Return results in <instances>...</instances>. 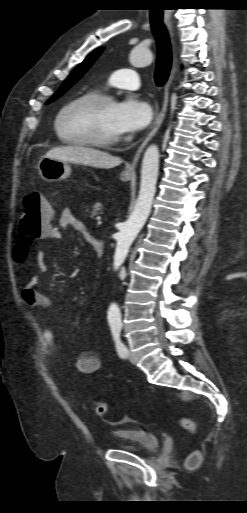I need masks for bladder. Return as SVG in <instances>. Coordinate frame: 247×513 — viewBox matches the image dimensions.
<instances>
[{"label": "bladder", "instance_id": "bladder-1", "mask_svg": "<svg viewBox=\"0 0 247 513\" xmlns=\"http://www.w3.org/2000/svg\"><path fill=\"white\" fill-rule=\"evenodd\" d=\"M160 447V439L140 429H118L113 433L110 450H125L150 454Z\"/></svg>", "mask_w": 247, "mask_h": 513}]
</instances>
